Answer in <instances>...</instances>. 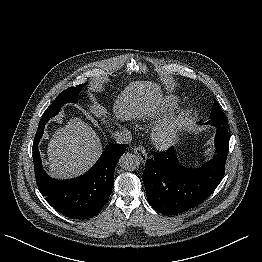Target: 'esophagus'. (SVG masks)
<instances>
[{
    "label": "esophagus",
    "mask_w": 262,
    "mask_h": 262,
    "mask_svg": "<svg viewBox=\"0 0 262 262\" xmlns=\"http://www.w3.org/2000/svg\"><path fill=\"white\" fill-rule=\"evenodd\" d=\"M135 154L138 156V158L140 159V161L142 163H145L147 160V153L146 150L143 146H137L134 149Z\"/></svg>",
    "instance_id": "esophagus-1"
}]
</instances>
